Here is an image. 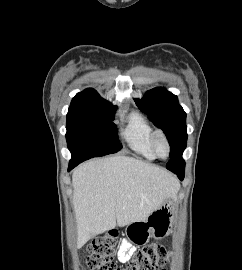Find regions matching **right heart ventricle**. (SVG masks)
I'll list each match as a JSON object with an SVG mask.
<instances>
[{"label": "right heart ventricle", "mask_w": 242, "mask_h": 270, "mask_svg": "<svg viewBox=\"0 0 242 270\" xmlns=\"http://www.w3.org/2000/svg\"><path fill=\"white\" fill-rule=\"evenodd\" d=\"M153 134V128L139 113L130 115L128 123L122 131V137L129 148L149 160L156 158L151 148Z\"/></svg>", "instance_id": "1"}]
</instances>
